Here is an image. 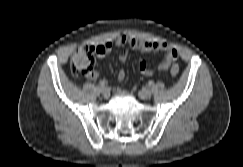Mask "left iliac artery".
<instances>
[{"label": "left iliac artery", "mask_w": 243, "mask_h": 167, "mask_svg": "<svg viewBox=\"0 0 243 167\" xmlns=\"http://www.w3.org/2000/svg\"><path fill=\"white\" fill-rule=\"evenodd\" d=\"M153 84H154V82L152 80L148 82L149 86H152Z\"/></svg>", "instance_id": "left-iliac-artery-1"}]
</instances>
